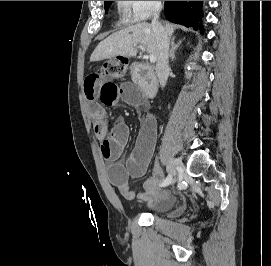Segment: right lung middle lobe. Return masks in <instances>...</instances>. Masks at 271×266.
<instances>
[{
    "label": "right lung middle lobe",
    "instance_id": "obj_1",
    "mask_svg": "<svg viewBox=\"0 0 271 266\" xmlns=\"http://www.w3.org/2000/svg\"><path fill=\"white\" fill-rule=\"evenodd\" d=\"M111 1H105V11H108Z\"/></svg>",
    "mask_w": 271,
    "mask_h": 266
}]
</instances>
